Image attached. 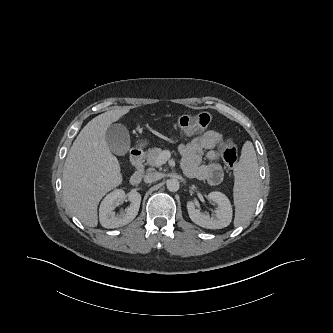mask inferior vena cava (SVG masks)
Segmentation results:
<instances>
[{
	"label": "inferior vena cava",
	"instance_id": "obj_1",
	"mask_svg": "<svg viewBox=\"0 0 333 333\" xmlns=\"http://www.w3.org/2000/svg\"><path fill=\"white\" fill-rule=\"evenodd\" d=\"M162 178V174L159 172H149L145 175L144 181L146 183H152Z\"/></svg>",
	"mask_w": 333,
	"mask_h": 333
}]
</instances>
